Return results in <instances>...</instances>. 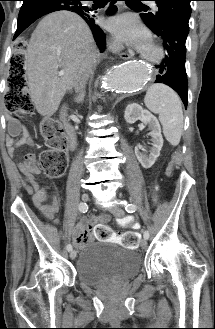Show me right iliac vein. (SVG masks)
Here are the masks:
<instances>
[{
    "label": "right iliac vein",
    "mask_w": 215,
    "mask_h": 329,
    "mask_svg": "<svg viewBox=\"0 0 215 329\" xmlns=\"http://www.w3.org/2000/svg\"><path fill=\"white\" fill-rule=\"evenodd\" d=\"M88 200H89V195L86 194V193L82 194V201L83 202H87ZM76 256H77L76 251L75 250H71V252H70V258L72 260H74L76 258Z\"/></svg>",
    "instance_id": "1"
}]
</instances>
